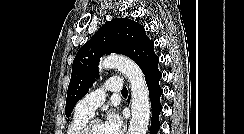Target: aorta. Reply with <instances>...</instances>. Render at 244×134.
I'll list each match as a JSON object with an SVG mask.
<instances>
[{
  "label": "aorta",
  "instance_id": "762f6f07",
  "mask_svg": "<svg viewBox=\"0 0 244 134\" xmlns=\"http://www.w3.org/2000/svg\"><path fill=\"white\" fill-rule=\"evenodd\" d=\"M102 69H118L131 88V120L128 134H146L150 119L149 91L139 66L129 58L112 55L104 58Z\"/></svg>",
  "mask_w": 244,
  "mask_h": 134
}]
</instances>
